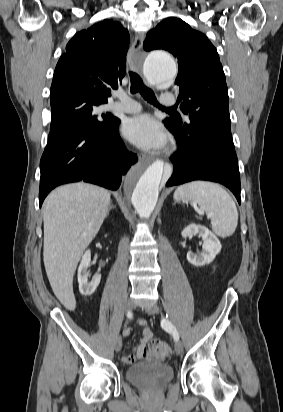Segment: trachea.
I'll list each match as a JSON object with an SVG mask.
<instances>
[{
	"label": "trachea",
	"mask_w": 283,
	"mask_h": 412,
	"mask_svg": "<svg viewBox=\"0 0 283 412\" xmlns=\"http://www.w3.org/2000/svg\"><path fill=\"white\" fill-rule=\"evenodd\" d=\"M130 80H131V87H130V91L132 94H135L137 92H139L141 94V96L149 103L158 106L159 108H162L164 110H168L170 112H175V108L171 107V108H165L162 107L161 105H159V103L156 100L155 94L154 92L148 88L147 86H145V84L143 83L141 77L136 74L135 72H130Z\"/></svg>",
	"instance_id": "1"
}]
</instances>
